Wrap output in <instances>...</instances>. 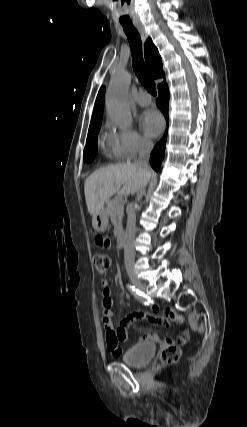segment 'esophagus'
Listing matches in <instances>:
<instances>
[{"label": "esophagus", "instance_id": "esophagus-1", "mask_svg": "<svg viewBox=\"0 0 247 427\" xmlns=\"http://www.w3.org/2000/svg\"><path fill=\"white\" fill-rule=\"evenodd\" d=\"M136 28L142 38V41L145 42L148 38V34L145 30V28L143 27V25H136Z\"/></svg>", "mask_w": 247, "mask_h": 427}]
</instances>
